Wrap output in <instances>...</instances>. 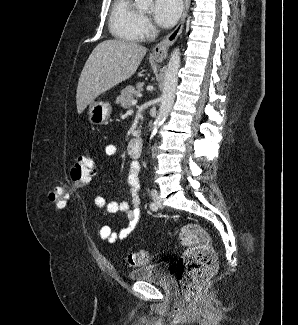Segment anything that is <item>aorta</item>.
Returning a JSON list of instances; mask_svg holds the SVG:
<instances>
[{"label":"aorta","instance_id":"1","mask_svg":"<svg viewBox=\"0 0 298 325\" xmlns=\"http://www.w3.org/2000/svg\"><path fill=\"white\" fill-rule=\"evenodd\" d=\"M136 8L140 10H149L153 8V0H134ZM181 66V52L180 46H174L170 58L168 60L162 94L160 96V104L157 112V116L154 120V126L152 128L151 136H154L157 132V128L161 126L165 118H167L175 100L176 86L178 84V72Z\"/></svg>","mask_w":298,"mask_h":325}]
</instances>
